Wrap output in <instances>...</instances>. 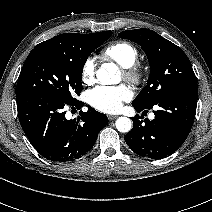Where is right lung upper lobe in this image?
<instances>
[{
	"instance_id": "obj_1",
	"label": "right lung upper lobe",
	"mask_w": 212,
	"mask_h": 212,
	"mask_svg": "<svg viewBox=\"0 0 212 212\" xmlns=\"http://www.w3.org/2000/svg\"><path fill=\"white\" fill-rule=\"evenodd\" d=\"M69 33L61 34L58 36H55L47 41H44L37 46H44V47H57L64 43L65 38L68 36Z\"/></svg>"
}]
</instances>
